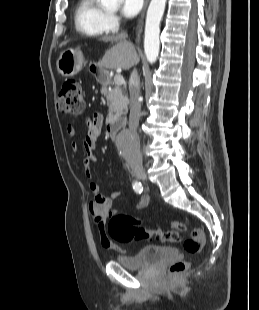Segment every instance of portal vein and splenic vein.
I'll use <instances>...</instances> for the list:
<instances>
[{
    "label": "portal vein and splenic vein",
    "mask_w": 259,
    "mask_h": 310,
    "mask_svg": "<svg viewBox=\"0 0 259 310\" xmlns=\"http://www.w3.org/2000/svg\"><path fill=\"white\" fill-rule=\"evenodd\" d=\"M114 83L117 86H121L124 83V78L122 75L118 74L114 76Z\"/></svg>",
    "instance_id": "18ae733b"
}]
</instances>
